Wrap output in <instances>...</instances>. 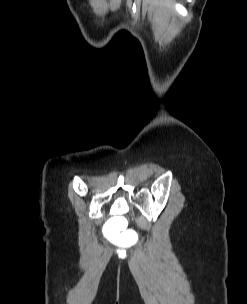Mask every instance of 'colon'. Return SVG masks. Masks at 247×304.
Masks as SVG:
<instances>
[{
	"mask_svg": "<svg viewBox=\"0 0 247 304\" xmlns=\"http://www.w3.org/2000/svg\"><path fill=\"white\" fill-rule=\"evenodd\" d=\"M127 219V214H112L111 220H107V235H104V238L114 240V244H127V246L139 244V237L134 233V225H129Z\"/></svg>",
	"mask_w": 247,
	"mask_h": 304,
	"instance_id": "obj_1",
	"label": "colon"
}]
</instances>
